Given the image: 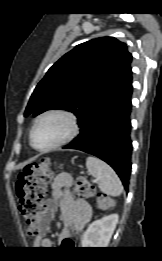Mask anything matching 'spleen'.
<instances>
[{
    "label": "spleen",
    "instance_id": "spleen-1",
    "mask_svg": "<svg viewBox=\"0 0 162 261\" xmlns=\"http://www.w3.org/2000/svg\"><path fill=\"white\" fill-rule=\"evenodd\" d=\"M86 168L98 180L100 190L110 196H119L123 191L122 183L115 171L104 161L89 156L86 159Z\"/></svg>",
    "mask_w": 162,
    "mask_h": 261
}]
</instances>
